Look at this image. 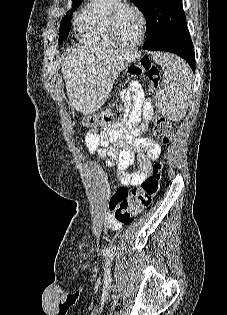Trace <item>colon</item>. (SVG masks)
<instances>
[{
    "label": "colon",
    "mask_w": 227,
    "mask_h": 315,
    "mask_svg": "<svg viewBox=\"0 0 227 315\" xmlns=\"http://www.w3.org/2000/svg\"><path fill=\"white\" fill-rule=\"evenodd\" d=\"M128 72L132 76L146 75L150 83V94H153L159 85L160 70L147 58L133 62L129 66ZM121 117L122 106L120 103H115L100 114L85 117L82 124L86 128L111 126L119 122ZM144 117L152 125L153 132L157 137L162 138L166 144L173 141L175 135L168 120L157 116L153 110H145ZM163 170V164H156L152 174L131 192H128L124 187H115L109 203V210L119 223L123 225L130 223L135 216L151 204L159 191Z\"/></svg>",
    "instance_id": "5ec220e1"
}]
</instances>
